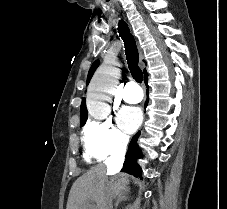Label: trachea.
<instances>
[{
  "instance_id": "1",
  "label": "trachea",
  "mask_w": 227,
  "mask_h": 209,
  "mask_svg": "<svg viewBox=\"0 0 227 209\" xmlns=\"http://www.w3.org/2000/svg\"><path fill=\"white\" fill-rule=\"evenodd\" d=\"M118 33L125 45V54L127 58L128 67L130 69L132 77L136 82L141 83L143 80L142 70L138 66L139 53L136 46L135 39L131 34L128 24L124 20L118 22Z\"/></svg>"
}]
</instances>
